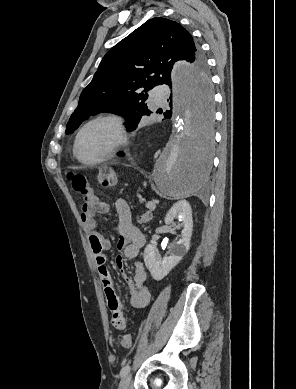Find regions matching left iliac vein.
<instances>
[{"mask_svg":"<svg viewBox=\"0 0 296 389\" xmlns=\"http://www.w3.org/2000/svg\"><path fill=\"white\" fill-rule=\"evenodd\" d=\"M131 382V374H126L120 381L119 389H129Z\"/></svg>","mask_w":296,"mask_h":389,"instance_id":"1","label":"left iliac vein"}]
</instances>
